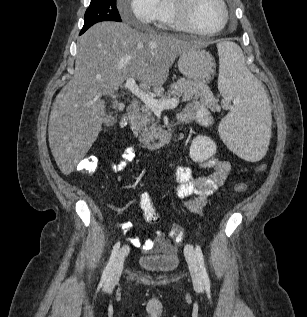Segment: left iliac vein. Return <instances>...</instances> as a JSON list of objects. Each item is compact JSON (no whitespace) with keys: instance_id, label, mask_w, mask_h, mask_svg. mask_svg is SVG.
I'll return each instance as SVG.
<instances>
[{"instance_id":"obj_1","label":"left iliac vein","mask_w":307,"mask_h":317,"mask_svg":"<svg viewBox=\"0 0 307 317\" xmlns=\"http://www.w3.org/2000/svg\"><path fill=\"white\" fill-rule=\"evenodd\" d=\"M184 253L189 266L193 284L195 287L202 289L203 279L198 266L197 256L194 247L190 244L186 245Z\"/></svg>"}]
</instances>
